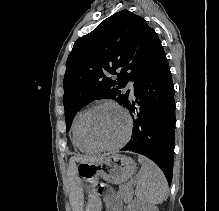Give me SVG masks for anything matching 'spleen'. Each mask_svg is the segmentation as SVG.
<instances>
[{
    "instance_id": "1",
    "label": "spleen",
    "mask_w": 219,
    "mask_h": 211,
    "mask_svg": "<svg viewBox=\"0 0 219 211\" xmlns=\"http://www.w3.org/2000/svg\"><path fill=\"white\" fill-rule=\"evenodd\" d=\"M138 161L141 163L136 189L139 201L148 205L162 203L168 191V183L162 169L144 155H138Z\"/></svg>"
}]
</instances>
